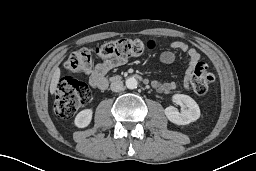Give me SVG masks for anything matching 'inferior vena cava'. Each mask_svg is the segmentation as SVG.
Returning <instances> with one entry per match:
<instances>
[{
	"label": "inferior vena cava",
	"instance_id": "obj_1",
	"mask_svg": "<svg viewBox=\"0 0 256 171\" xmlns=\"http://www.w3.org/2000/svg\"><path fill=\"white\" fill-rule=\"evenodd\" d=\"M110 89L113 92H119L121 90H123V82L121 80H115L111 83L110 85Z\"/></svg>",
	"mask_w": 256,
	"mask_h": 171
}]
</instances>
